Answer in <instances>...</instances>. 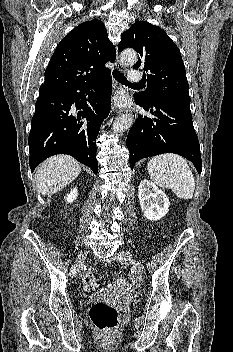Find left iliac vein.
<instances>
[{"label":"left iliac vein","mask_w":233,"mask_h":352,"mask_svg":"<svg viewBox=\"0 0 233 352\" xmlns=\"http://www.w3.org/2000/svg\"><path fill=\"white\" fill-rule=\"evenodd\" d=\"M119 261L123 264H132L139 275H142L144 272V266L138 260H136L130 253H121Z\"/></svg>","instance_id":"4c4485c4"}]
</instances>
